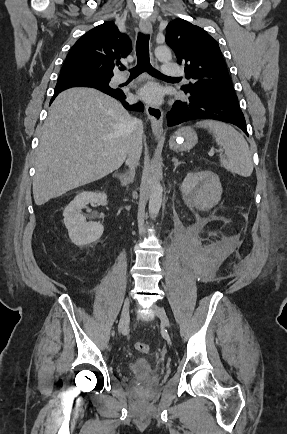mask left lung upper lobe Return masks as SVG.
<instances>
[{
    "label": "left lung upper lobe",
    "instance_id": "obj_1",
    "mask_svg": "<svg viewBox=\"0 0 287 434\" xmlns=\"http://www.w3.org/2000/svg\"><path fill=\"white\" fill-rule=\"evenodd\" d=\"M166 43L177 62L185 64L186 77L194 80L181 87L185 93L205 91L237 97L218 43L204 29L175 19L167 25Z\"/></svg>",
    "mask_w": 287,
    "mask_h": 434
}]
</instances>
